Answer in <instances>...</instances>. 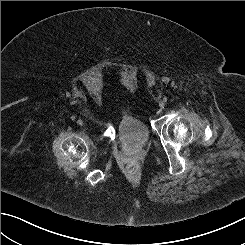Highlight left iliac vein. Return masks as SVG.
<instances>
[{"label":"left iliac vein","mask_w":245,"mask_h":245,"mask_svg":"<svg viewBox=\"0 0 245 245\" xmlns=\"http://www.w3.org/2000/svg\"><path fill=\"white\" fill-rule=\"evenodd\" d=\"M159 106H160L161 108H163V107L165 106V103H164L163 101H160V102H159Z\"/></svg>","instance_id":"obj_1"}]
</instances>
